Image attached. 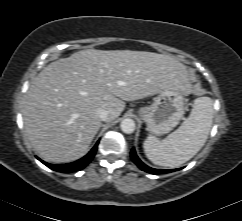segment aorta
Returning a JSON list of instances; mask_svg holds the SVG:
<instances>
[{"mask_svg":"<svg viewBox=\"0 0 242 221\" xmlns=\"http://www.w3.org/2000/svg\"><path fill=\"white\" fill-rule=\"evenodd\" d=\"M120 128L124 133L131 134L135 131V122L130 118H126L121 121Z\"/></svg>","mask_w":242,"mask_h":221,"instance_id":"aorta-1","label":"aorta"}]
</instances>
